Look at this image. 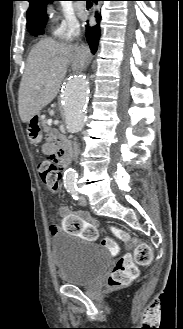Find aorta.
I'll return each mask as SVG.
<instances>
[{
    "mask_svg": "<svg viewBox=\"0 0 183 329\" xmlns=\"http://www.w3.org/2000/svg\"><path fill=\"white\" fill-rule=\"evenodd\" d=\"M90 87L89 79L81 74L71 77L64 86L61 104L69 133L79 132L85 124ZM63 180L66 188L74 187L77 181L76 171L67 169Z\"/></svg>",
    "mask_w": 183,
    "mask_h": 329,
    "instance_id": "aorta-1",
    "label": "aorta"
}]
</instances>
